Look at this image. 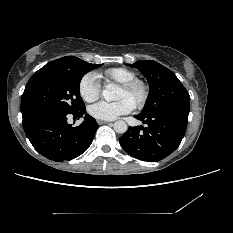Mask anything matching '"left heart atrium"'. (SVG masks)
I'll use <instances>...</instances> for the list:
<instances>
[{
  "label": "left heart atrium",
  "mask_w": 233,
  "mask_h": 233,
  "mask_svg": "<svg viewBox=\"0 0 233 233\" xmlns=\"http://www.w3.org/2000/svg\"><path fill=\"white\" fill-rule=\"evenodd\" d=\"M134 109V104L127 98L115 102L100 101L89 107V113L98 120L110 121Z\"/></svg>",
  "instance_id": "39dd6f15"
}]
</instances>
